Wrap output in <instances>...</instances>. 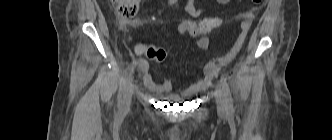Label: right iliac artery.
<instances>
[{
	"instance_id": "obj_1",
	"label": "right iliac artery",
	"mask_w": 332,
	"mask_h": 140,
	"mask_svg": "<svg viewBox=\"0 0 332 140\" xmlns=\"http://www.w3.org/2000/svg\"><path fill=\"white\" fill-rule=\"evenodd\" d=\"M177 0H169V5H173ZM138 60L133 61L127 68V70L125 71L124 75L122 76L121 80H120V89H119V94H118V104L120 105L121 101H122V93L124 90V87L126 85V82L129 78V76L132 74L135 66L137 65Z\"/></svg>"
}]
</instances>
